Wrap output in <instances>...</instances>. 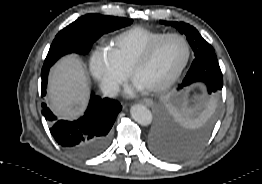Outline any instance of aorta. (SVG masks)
Wrapping results in <instances>:
<instances>
[{
	"label": "aorta",
	"instance_id": "1",
	"mask_svg": "<svg viewBox=\"0 0 262 184\" xmlns=\"http://www.w3.org/2000/svg\"><path fill=\"white\" fill-rule=\"evenodd\" d=\"M131 117L140 125L148 126L152 122L151 111L142 104H135L130 109Z\"/></svg>",
	"mask_w": 262,
	"mask_h": 184
}]
</instances>
